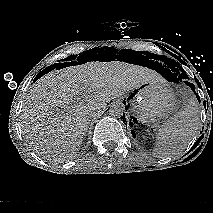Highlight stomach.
<instances>
[{
  "mask_svg": "<svg viewBox=\"0 0 213 213\" xmlns=\"http://www.w3.org/2000/svg\"><path fill=\"white\" fill-rule=\"evenodd\" d=\"M129 95L134 115L141 123L155 125L179 108L176 93L163 80L144 83Z\"/></svg>",
  "mask_w": 213,
  "mask_h": 213,
  "instance_id": "stomach-1",
  "label": "stomach"
}]
</instances>
